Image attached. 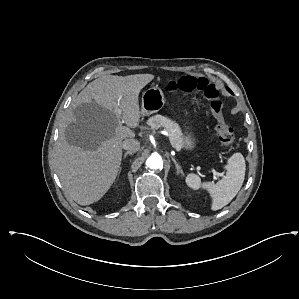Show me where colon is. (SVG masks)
I'll return each mask as SVG.
<instances>
[{
  "instance_id": "obj_1",
  "label": "colon",
  "mask_w": 299,
  "mask_h": 299,
  "mask_svg": "<svg viewBox=\"0 0 299 299\" xmlns=\"http://www.w3.org/2000/svg\"><path fill=\"white\" fill-rule=\"evenodd\" d=\"M170 91L183 93H201L209 101L210 110L216 123V136L219 143L228 148L234 142V132L224 117V104L216 86L206 78L185 76L177 80H171L168 85Z\"/></svg>"
}]
</instances>
